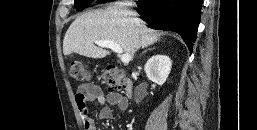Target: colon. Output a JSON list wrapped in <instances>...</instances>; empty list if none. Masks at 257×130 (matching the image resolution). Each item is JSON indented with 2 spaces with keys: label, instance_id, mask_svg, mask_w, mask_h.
I'll return each instance as SVG.
<instances>
[{
  "label": "colon",
  "instance_id": "colon-1",
  "mask_svg": "<svg viewBox=\"0 0 257 130\" xmlns=\"http://www.w3.org/2000/svg\"><path fill=\"white\" fill-rule=\"evenodd\" d=\"M70 76L77 81H85L89 78L87 67L81 62L72 63ZM107 88L111 91H122L125 87V77L122 71L109 67L103 75Z\"/></svg>",
  "mask_w": 257,
  "mask_h": 130
}]
</instances>
